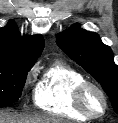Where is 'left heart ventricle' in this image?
Wrapping results in <instances>:
<instances>
[{
    "label": "left heart ventricle",
    "mask_w": 118,
    "mask_h": 123,
    "mask_svg": "<svg viewBox=\"0 0 118 123\" xmlns=\"http://www.w3.org/2000/svg\"><path fill=\"white\" fill-rule=\"evenodd\" d=\"M87 104L95 113H100L103 109L102 100L100 96L94 91L89 92L87 96Z\"/></svg>",
    "instance_id": "left-heart-ventricle-1"
}]
</instances>
